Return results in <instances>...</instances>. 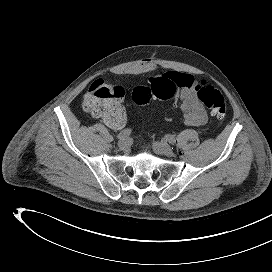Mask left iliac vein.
Returning <instances> with one entry per match:
<instances>
[{
	"label": "left iliac vein",
	"instance_id": "1",
	"mask_svg": "<svg viewBox=\"0 0 272 272\" xmlns=\"http://www.w3.org/2000/svg\"><path fill=\"white\" fill-rule=\"evenodd\" d=\"M153 148L155 152L159 155H164L167 157H172L174 155L173 150L171 149L167 142L156 141L153 143Z\"/></svg>",
	"mask_w": 272,
	"mask_h": 272
}]
</instances>
